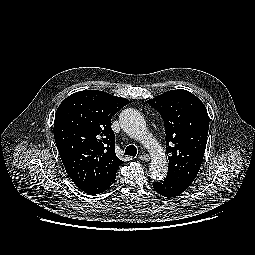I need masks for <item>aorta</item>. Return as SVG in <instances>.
Returning a JSON list of instances; mask_svg holds the SVG:
<instances>
[{"label":"aorta","mask_w":255,"mask_h":255,"mask_svg":"<svg viewBox=\"0 0 255 255\" xmlns=\"http://www.w3.org/2000/svg\"><path fill=\"white\" fill-rule=\"evenodd\" d=\"M119 122L128 136L142 142L150 151L152 156L149 168L150 177L154 180L165 178L168 170L165 151L147 131L142 114L133 108L124 109L119 115Z\"/></svg>","instance_id":"obj_1"}]
</instances>
